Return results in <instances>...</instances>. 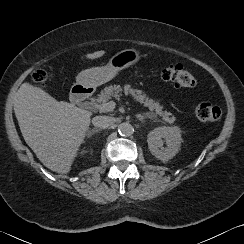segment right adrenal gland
I'll use <instances>...</instances> for the list:
<instances>
[{
    "label": "right adrenal gland",
    "mask_w": 244,
    "mask_h": 244,
    "mask_svg": "<svg viewBox=\"0 0 244 244\" xmlns=\"http://www.w3.org/2000/svg\"><path fill=\"white\" fill-rule=\"evenodd\" d=\"M98 131H99V129H92V131L90 132V135L89 136H91L94 133H97Z\"/></svg>",
    "instance_id": "1"
}]
</instances>
